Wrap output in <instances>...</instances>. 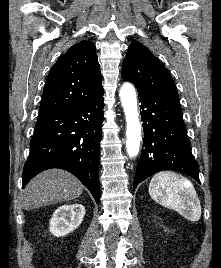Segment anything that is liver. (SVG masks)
I'll use <instances>...</instances> for the list:
<instances>
[{"label":"liver","instance_id":"1","mask_svg":"<svg viewBox=\"0 0 221 268\" xmlns=\"http://www.w3.org/2000/svg\"><path fill=\"white\" fill-rule=\"evenodd\" d=\"M83 192L82 183L72 174L50 169L34 177L21 196V207L30 210L50 204L70 201Z\"/></svg>","mask_w":221,"mask_h":268}]
</instances>
